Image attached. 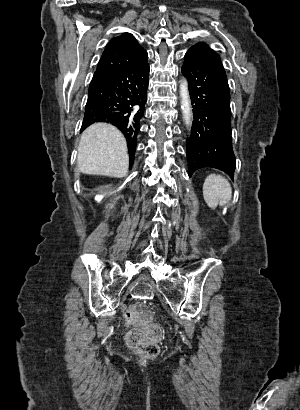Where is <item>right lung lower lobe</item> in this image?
<instances>
[{
  "instance_id": "98d812e1",
  "label": "right lung lower lobe",
  "mask_w": 300,
  "mask_h": 410,
  "mask_svg": "<svg viewBox=\"0 0 300 410\" xmlns=\"http://www.w3.org/2000/svg\"><path fill=\"white\" fill-rule=\"evenodd\" d=\"M149 65H128L94 76L88 93L82 130L95 122H107L124 134L131 152L136 151L140 121L147 101Z\"/></svg>"
}]
</instances>
